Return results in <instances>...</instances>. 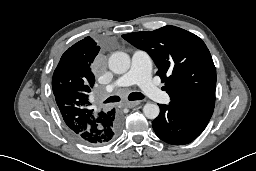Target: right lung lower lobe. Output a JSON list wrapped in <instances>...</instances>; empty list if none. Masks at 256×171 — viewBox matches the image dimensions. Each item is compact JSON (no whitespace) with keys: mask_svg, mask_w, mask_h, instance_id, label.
Wrapping results in <instances>:
<instances>
[{"mask_svg":"<svg viewBox=\"0 0 256 171\" xmlns=\"http://www.w3.org/2000/svg\"><path fill=\"white\" fill-rule=\"evenodd\" d=\"M122 119L114 109L109 110L102 124L95 132H84L76 136L80 141L89 145H100L111 141L120 131Z\"/></svg>","mask_w":256,"mask_h":171,"instance_id":"right-lung-lower-lobe-1","label":"right lung lower lobe"}]
</instances>
